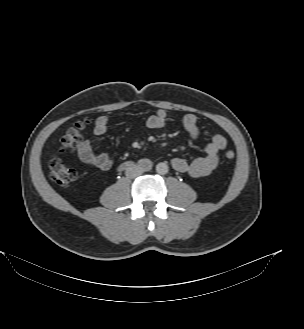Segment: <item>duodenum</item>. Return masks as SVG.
I'll return each instance as SVG.
<instances>
[{"instance_id":"410a0bca","label":"duodenum","mask_w":304,"mask_h":329,"mask_svg":"<svg viewBox=\"0 0 304 329\" xmlns=\"http://www.w3.org/2000/svg\"><path fill=\"white\" fill-rule=\"evenodd\" d=\"M132 167H133V165L129 162H125L121 165V169H130Z\"/></svg>"}]
</instances>
